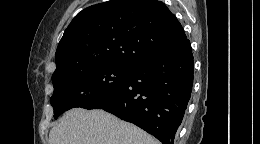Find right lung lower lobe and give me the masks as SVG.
Returning a JSON list of instances; mask_svg holds the SVG:
<instances>
[{"label":"right lung lower lobe","instance_id":"right-lung-lower-lobe-1","mask_svg":"<svg viewBox=\"0 0 260 144\" xmlns=\"http://www.w3.org/2000/svg\"><path fill=\"white\" fill-rule=\"evenodd\" d=\"M193 75L192 49L186 40L133 64L116 93L87 109H103L163 144H174L191 96Z\"/></svg>","mask_w":260,"mask_h":144}]
</instances>
